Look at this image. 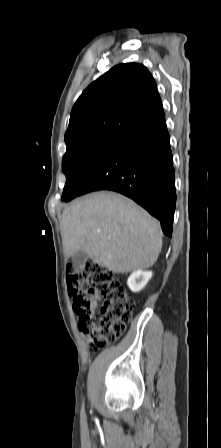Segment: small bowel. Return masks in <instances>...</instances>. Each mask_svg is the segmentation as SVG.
<instances>
[{
  "mask_svg": "<svg viewBox=\"0 0 221 448\" xmlns=\"http://www.w3.org/2000/svg\"><path fill=\"white\" fill-rule=\"evenodd\" d=\"M96 308H97V304L95 303L92 308L93 312L96 310Z\"/></svg>",
  "mask_w": 221,
  "mask_h": 448,
  "instance_id": "1",
  "label": "small bowel"
}]
</instances>
